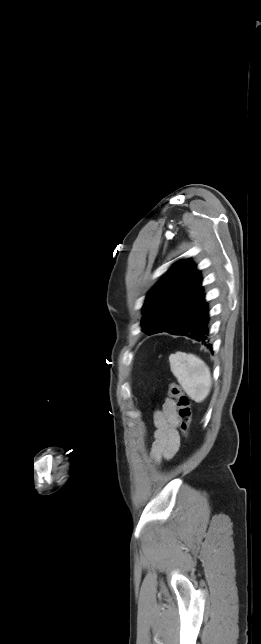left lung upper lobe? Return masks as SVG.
<instances>
[{"mask_svg":"<svg viewBox=\"0 0 261 644\" xmlns=\"http://www.w3.org/2000/svg\"><path fill=\"white\" fill-rule=\"evenodd\" d=\"M189 260L173 265L149 291L142 326L147 334L169 332L188 320L205 302L200 271Z\"/></svg>","mask_w":261,"mask_h":644,"instance_id":"1","label":"left lung upper lobe"}]
</instances>
